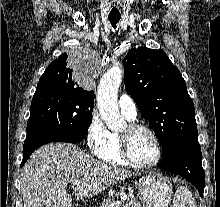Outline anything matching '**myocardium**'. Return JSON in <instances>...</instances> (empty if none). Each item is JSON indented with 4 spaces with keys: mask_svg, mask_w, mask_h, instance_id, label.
Segmentation results:
<instances>
[{
    "mask_svg": "<svg viewBox=\"0 0 220 207\" xmlns=\"http://www.w3.org/2000/svg\"><path fill=\"white\" fill-rule=\"evenodd\" d=\"M127 130L129 132L143 130L146 131L151 138L153 139L156 146V158L151 163L141 164L136 162L130 155L129 145H128V136L127 134H118V146L119 152L123 160L130 166L138 169H149L156 166L162 157V146L157 134L149 126L141 123L131 122L127 125Z\"/></svg>",
    "mask_w": 220,
    "mask_h": 207,
    "instance_id": "myocardium-1",
    "label": "myocardium"
}]
</instances>
